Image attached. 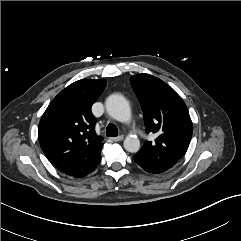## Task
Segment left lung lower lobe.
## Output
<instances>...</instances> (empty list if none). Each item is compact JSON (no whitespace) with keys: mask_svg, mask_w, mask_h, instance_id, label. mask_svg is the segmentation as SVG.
<instances>
[{"mask_svg":"<svg viewBox=\"0 0 241 241\" xmlns=\"http://www.w3.org/2000/svg\"><path fill=\"white\" fill-rule=\"evenodd\" d=\"M147 172L158 174L164 172V170H148Z\"/></svg>","mask_w":241,"mask_h":241,"instance_id":"0a47b994","label":"left lung lower lobe"}]
</instances>
